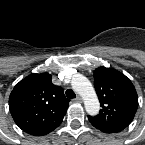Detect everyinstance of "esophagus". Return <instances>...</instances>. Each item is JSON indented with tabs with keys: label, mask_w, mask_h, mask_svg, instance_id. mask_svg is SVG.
<instances>
[{
	"label": "esophagus",
	"mask_w": 145,
	"mask_h": 145,
	"mask_svg": "<svg viewBox=\"0 0 145 145\" xmlns=\"http://www.w3.org/2000/svg\"><path fill=\"white\" fill-rule=\"evenodd\" d=\"M74 101L77 102V103H81L82 102V98L80 96H77Z\"/></svg>",
	"instance_id": "34e87169"
}]
</instances>
